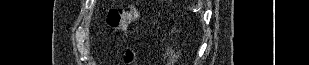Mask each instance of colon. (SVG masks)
I'll use <instances>...</instances> for the list:
<instances>
[{
    "instance_id": "1",
    "label": "colon",
    "mask_w": 309,
    "mask_h": 65,
    "mask_svg": "<svg viewBox=\"0 0 309 65\" xmlns=\"http://www.w3.org/2000/svg\"><path fill=\"white\" fill-rule=\"evenodd\" d=\"M139 18V11L135 5H130L125 9H111L108 11L105 21L114 30L125 29ZM138 60L137 52L128 47L124 53V63L136 65Z\"/></svg>"
}]
</instances>
